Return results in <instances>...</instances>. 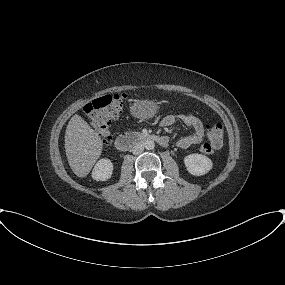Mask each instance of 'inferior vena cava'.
<instances>
[{"mask_svg": "<svg viewBox=\"0 0 285 285\" xmlns=\"http://www.w3.org/2000/svg\"><path fill=\"white\" fill-rule=\"evenodd\" d=\"M143 150H144V145L142 143H137L133 146L132 153L134 155H138V154L142 153Z\"/></svg>", "mask_w": 285, "mask_h": 285, "instance_id": "obj_1", "label": "inferior vena cava"}]
</instances>
